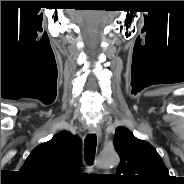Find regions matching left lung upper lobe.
<instances>
[{
	"label": "left lung upper lobe",
	"mask_w": 184,
	"mask_h": 184,
	"mask_svg": "<svg viewBox=\"0 0 184 184\" xmlns=\"http://www.w3.org/2000/svg\"><path fill=\"white\" fill-rule=\"evenodd\" d=\"M120 164L114 178L121 184H170L171 177L157 151L125 127L115 131Z\"/></svg>",
	"instance_id": "1"
}]
</instances>
